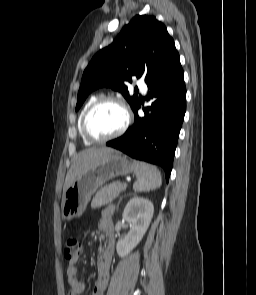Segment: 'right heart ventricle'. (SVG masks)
<instances>
[{"label": "right heart ventricle", "mask_w": 256, "mask_h": 295, "mask_svg": "<svg viewBox=\"0 0 256 295\" xmlns=\"http://www.w3.org/2000/svg\"><path fill=\"white\" fill-rule=\"evenodd\" d=\"M97 98H98V96H92V97H90V98L88 99V101L85 103V105H84V107H83V109H82V111H81V113H80L79 119H78V130H79V133H80V136H81L82 140L84 141V143H85L86 145H90L92 142L89 141V140L84 136V134H83V132H82V127H81V124H82V118H83V115H84L86 109H87V108L89 107V105H90L94 100H96Z\"/></svg>", "instance_id": "right-heart-ventricle-1"}]
</instances>
